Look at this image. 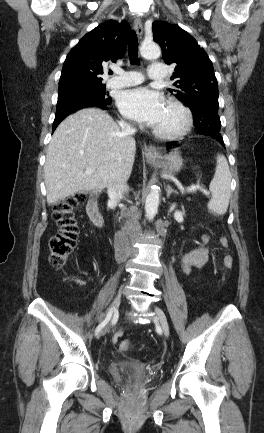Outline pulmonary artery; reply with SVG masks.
Masks as SVG:
<instances>
[{
    "label": "pulmonary artery",
    "instance_id": "pulmonary-artery-1",
    "mask_svg": "<svg viewBox=\"0 0 264 433\" xmlns=\"http://www.w3.org/2000/svg\"><path fill=\"white\" fill-rule=\"evenodd\" d=\"M118 74L107 81V86L110 88H124L137 85L143 82L142 75L135 70L125 71L118 69ZM166 77V68L161 64H151L149 68V78L151 80H162Z\"/></svg>",
    "mask_w": 264,
    "mask_h": 433
}]
</instances>
